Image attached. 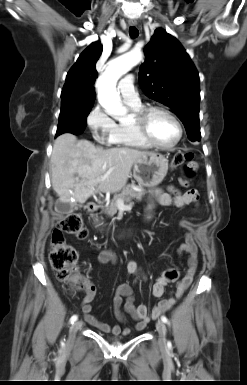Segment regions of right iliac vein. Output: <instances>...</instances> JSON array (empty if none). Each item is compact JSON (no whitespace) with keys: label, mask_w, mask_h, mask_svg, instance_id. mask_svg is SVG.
<instances>
[{"label":"right iliac vein","mask_w":247,"mask_h":385,"mask_svg":"<svg viewBox=\"0 0 247 385\" xmlns=\"http://www.w3.org/2000/svg\"><path fill=\"white\" fill-rule=\"evenodd\" d=\"M82 325V322L81 321H76L74 322L71 327H70V331H69V339H73L76 332L78 331V329L81 327Z\"/></svg>","instance_id":"1"}]
</instances>
